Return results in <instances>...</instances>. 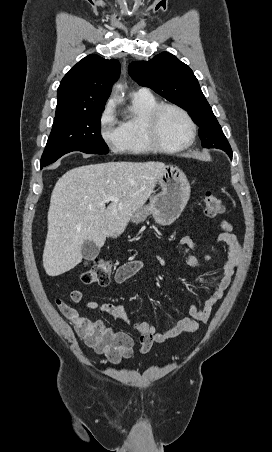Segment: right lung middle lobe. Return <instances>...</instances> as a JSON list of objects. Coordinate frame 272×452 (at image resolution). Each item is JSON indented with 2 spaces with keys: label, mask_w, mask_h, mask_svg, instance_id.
<instances>
[{
  "label": "right lung middle lobe",
  "mask_w": 272,
  "mask_h": 452,
  "mask_svg": "<svg viewBox=\"0 0 272 452\" xmlns=\"http://www.w3.org/2000/svg\"><path fill=\"white\" fill-rule=\"evenodd\" d=\"M103 110L104 107L88 112L55 116L41 158V166H47L72 151L107 154L108 146L100 134V118Z\"/></svg>",
  "instance_id": "1"
}]
</instances>
